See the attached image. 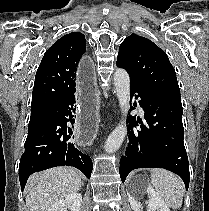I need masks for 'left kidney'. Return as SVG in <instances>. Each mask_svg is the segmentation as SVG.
Wrapping results in <instances>:
<instances>
[{"label":"left kidney","instance_id":"obj_1","mask_svg":"<svg viewBox=\"0 0 209 211\" xmlns=\"http://www.w3.org/2000/svg\"><path fill=\"white\" fill-rule=\"evenodd\" d=\"M145 187V192L149 197L146 202L148 205V211H170L169 207L161 199V197L155 192L150 184L145 183H135L132 182L128 189V198L133 211H141V203L138 202V190L139 188Z\"/></svg>","mask_w":209,"mask_h":211}]
</instances>
